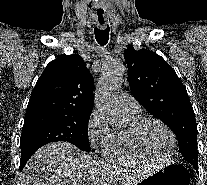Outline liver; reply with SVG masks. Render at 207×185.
<instances>
[{
    "instance_id": "obj_1",
    "label": "liver",
    "mask_w": 207,
    "mask_h": 185,
    "mask_svg": "<svg viewBox=\"0 0 207 185\" xmlns=\"http://www.w3.org/2000/svg\"><path fill=\"white\" fill-rule=\"evenodd\" d=\"M96 163L71 143H48L38 149L22 173V185H96Z\"/></svg>"
}]
</instances>
